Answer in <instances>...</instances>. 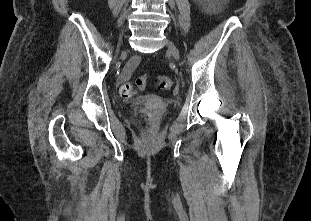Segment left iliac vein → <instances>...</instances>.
I'll use <instances>...</instances> for the list:
<instances>
[{
  "label": "left iliac vein",
  "instance_id": "1",
  "mask_svg": "<svg viewBox=\"0 0 311 221\" xmlns=\"http://www.w3.org/2000/svg\"><path fill=\"white\" fill-rule=\"evenodd\" d=\"M168 49H169L170 53L172 54V56L176 60H178L179 59V51H178V49L176 48V46L172 42L168 43Z\"/></svg>",
  "mask_w": 311,
  "mask_h": 221
}]
</instances>
